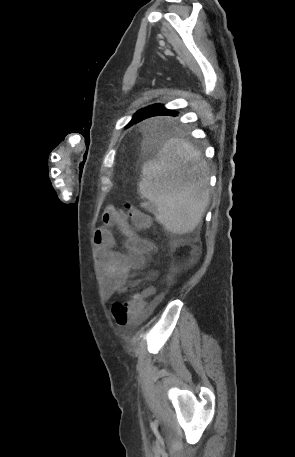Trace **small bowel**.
Returning a JSON list of instances; mask_svg holds the SVG:
<instances>
[{"label": "small bowel", "mask_w": 295, "mask_h": 457, "mask_svg": "<svg viewBox=\"0 0 295 457\" xmlns=\"http://www.w3.org/2000/svg\"><path fill=\"white\" fill-rule=\"evenodd\" d=\"M102 219L103 226L95 231L94 239L105 296L111 298L129 289L130 272L144 268L156 246L137 234L130 226L127 215L113 205L106 207ZM113 229L124 237L123 252L116 250Z\"/></svg>", "instance_id": "1"}]
</instances>
